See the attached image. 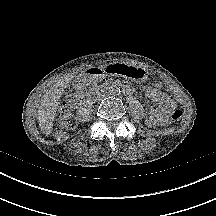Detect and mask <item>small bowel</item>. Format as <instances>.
Segmentation results:
<instances>
[{"label":"small bowel","mask_w":216,"mask_h":216,"mask_svg":"<svg viewBox=\"0 0 216 216\" xmlns=\"http://www.w3.org/2000/svg\"><path fill=\"white\" fill-rule=\"evenodd\" d=\"M143 90L146 96L156 103V105L150 109L147 124L149 126L164 124L176 107L175 101L162 91L159 82H155L152 85H146Z\"/></svg>","instance_id":"obj_1"}]
</instances>
